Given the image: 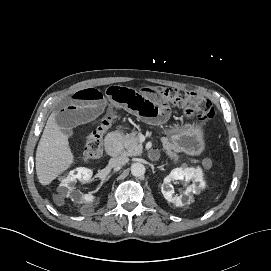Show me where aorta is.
<instances>
[{
	"label": "aorta",
	"mask_w": 271,
	"mask_h": 271,
	"mask_svg": "<svg viewBox=\"0 0 271 271\" xmlns=\"http://www.w3.org/2000/svg\"><path fill=\"white\" fill-rule=\"evenodd\" d=\"M145 166L142 163H134L131 166V174L135 177H141L145 174Z\"/></svg>",
	"instance_id": "1"
}]
</instances>
